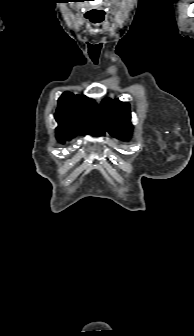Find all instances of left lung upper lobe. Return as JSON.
Wrapping results in <instances>:
<instances>
[{"instance_id":"5c2ea615","label":"left lung upper lobe","mask_w":194,"mask_h":336,"mask_svg":"<svg viewBox=\"0 0 194 336\" xmlns=\"http://www.w3.org/2000/svg\"><path fill=\"white\" fill-rule=\"evenodd\" d=\"M101 107L108 132L116 138H128L132 130L130 105L117 99L106 98Z\"/></svg>"}]
</instances>
